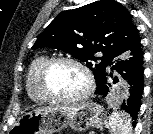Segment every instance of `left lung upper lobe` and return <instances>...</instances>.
<instances>
[{"mask_svg": "<svg viewBox=\"0 0 153 134\" xmlns=\"http://www.w3.org/2000/svg\"><path fill=\"white\" fill-rule=\"evenodd\" d=\"M140 45L129 11L115 0H100L61 12L39 35L33 49H61L86 63L96 83L109 64ZM102 57H95L97 52ZM100 60L99 64L92 61Z\"/></svg>", "mask_w": 153, "mask_h": 134, "instance_id": "obj_1", "label": "left lung upper lobe"}]
</instances>
